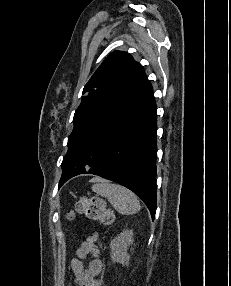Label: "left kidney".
Wrapping results in <instances>:
<instances>
[{"instance_id":"obj_1","label":"left kidney","mask_w":231,"mask_h":286,"mask_svg":"<svg viewBox=\"0 0 231 286\" xmlns=\"http://www.w3.org/2000/svg\"><path fill=\"white\" fill-rule=\"evenodd\" d=\"M133 241V230H124L111 241V258L114 263L117 262L122 265L129 263L130 257L127 251Z\"/></svg>"}]
</instances>
